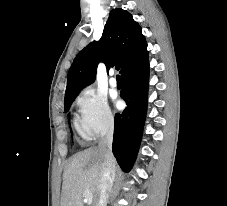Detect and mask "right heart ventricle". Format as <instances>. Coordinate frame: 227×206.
Instances as JSON below:
<instances>
[{"label":"right heart ventricle","instance_id":"e07e8e85","mask_svg":"<svg viewBox=\"0 0 227 206\" xmlns=\"http://www.w3.org/2000/svg\"><path fill=\"white\" fill-rule=\"evenodd\" d=\"M76 128L81 136H83V137L87 136V134L85 133V131L83 130V128L80 124L76 123Z\"/></svg>","mask_w":227,"mask_h":206}]
</instances>
